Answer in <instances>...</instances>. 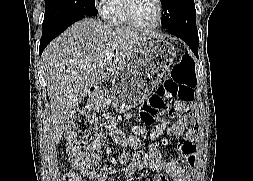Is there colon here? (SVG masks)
Returning <instances> with one entry per match:
<instances>
[{"label":"colon","mask_w":253,"mask_h":181,"mask_svg":"<svg viewBox=\"0 0 253 181\" xmlns=\"http://www.w3.org/2000/svg\"><path fill=\"white\" fill-rule=\"evenodd\" d=\"M174 55H181L180 62L174 67L170 77L153 93L141 110L140 117L146 124H151L158 112L168 100H178L190 105L194 98L196 86V72L193 59L183 50H174ZM66 137L68 148H84L95 150L101 146V126L97 118L86 111H77L67 128ZM156 160V151L152 149L147 153H138L134 162L143 166ZM67 181H77L68 176Z\"/></svg>","instance_id":"colon-1"}]
</instances>
